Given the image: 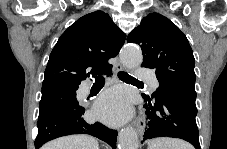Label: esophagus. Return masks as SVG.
Segmentation results:
<instances>
[{
	"label": "esophagus",
	"mask_w": 227,
	"mask_h": 149,
	"mask_svg": "<svg viewBox=\"0 0 227 149\" xmlns=\"http://www.w3.org/2000/svg\"><path fill=\"white\" fill-rule=\"evenodd\" d=\"M124 69L122 63L118 61L115 65V71L120 72ZM136 128L140 135H142L145 131V121L142 117H138L135 121Z\"/></svg>",
	"instance_id": "34e87169"
}]
</instances>
